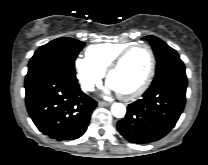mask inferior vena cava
I'll list each match as a JSON object with an SVG mask.
<instances>
[{
  "instance_id": "1",
  "label": "inferior vena cava",
  "mask_w": 208,
  "mask_h": 165,
  "mask_svg": "<svg viewBox=\"0 0 208 165\" xmlns=\"http://www.w3.org/2000/svg\"><path fill=\"white\" fill-rule=\"evenodd\" d=\"M82 90L83 91H93L94 90V85L91 83H85L82 85Z\"/></svg>"
}]
</instances>
